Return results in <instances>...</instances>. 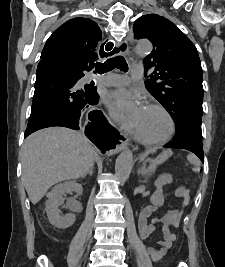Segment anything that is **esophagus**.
Returning <instances> with one entry per match:
<instances>
[{"label": "esophagus", "instance_id": "1", "mask_svg": "<svg viewBox=\"0 0 225 267\" xmlns=\"http://www.w3.org/2000/svg\"><path fill=\"white\" fill-rule=\"evenodd\" d=\"M129 52V44L126 40L120 42L116 45L115 55L121 54L124 56H128ZM128 146V138L126 136H122V139L119 144H117L115 151L119 152Z\"/></svg>", "mask_w": 225, "mask_h": 267}]
</instances>
